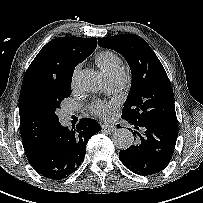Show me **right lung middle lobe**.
Instances as JSON below:
<instances>
[{"mask_svg":"<svg viewBox=\"0 0 203 203\" xmlns=\"http://www.w3.org/2000/svg\"><path fill=\"white\" fill-rule=\"evenodd\" d=\"M71 95V86L65 88H59L52 92L46 98V106L50 116L55 120L58 121V117L56 115V111L60 108V104L63 99L69 97Z\"/></svg>","mask_w":203,"mask_h":203,"instance_id":"obj_1","label":"right lung middle lobe"}]
</instances>
